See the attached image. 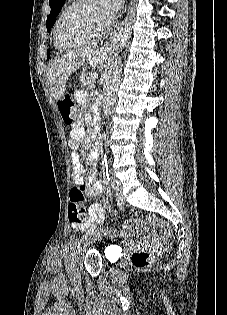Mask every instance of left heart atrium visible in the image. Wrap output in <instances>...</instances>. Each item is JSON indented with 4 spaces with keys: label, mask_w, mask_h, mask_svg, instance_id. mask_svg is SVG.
<instances>
[{
    "label": "left heart atrium",
    "mask_w": 227,
    "mask_h": 315,
    "mask_svg": "<svg viewBox=\"0 0 227 315\" xmlns=\"http://www.w3.org/2000/svg\"><path fill=\"white\" fill-rule=\"evenodd\" d=\"M123 0H97L106 26H108L115 18L117 12L122 6Z\"/></svg>",
    "instance_id": "39dd6f15"
}]
</instances>
